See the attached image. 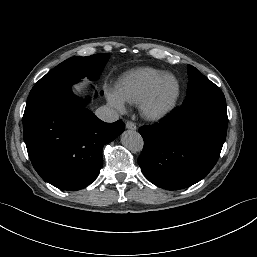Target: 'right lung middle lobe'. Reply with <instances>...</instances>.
<instances>
[{"label":"right lung middle lobe","mask_w":257,"mask_h":257,"mask_svg":"<svg viewBox=\"0 0 257 257\" xmlns=\"http://www.w3.org/2000/svg\"><path fill=\"white\" fill-rule=\"evenodd\" d=\"M108 58L109 54L107 53L69 58L43 76L35 86L47 85L64 79H81L84 77L95 79L102 72Z\"/></svg>","instance_id":"right-lung-middle-lobe-1"}]
</instances>
